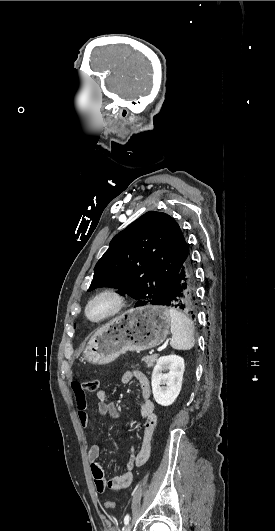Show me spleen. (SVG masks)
Masks as SVG:
<instances>
[{
  "label": "spleen",
  "instance_id": "spleen-1",
  "mask_svg": "<svg viewBox=\"0 0 275 531\" xmlns=\"http://www.w3.org/2000/svg\"><path fill=\"white\" fill-rule=\"evenodd\" d=\"M168 311L171 319L172 339L170 345L172 349H178V351L193 349L195 345L193 321L177 309H168Z\"/></svg>",
  "mask_w": 275,
  "mask_h": 531
}]
</instances>
